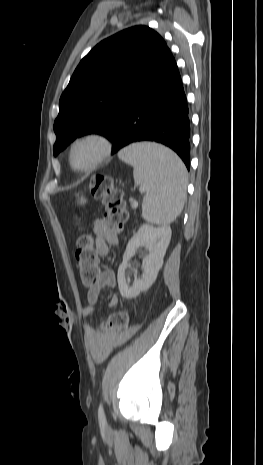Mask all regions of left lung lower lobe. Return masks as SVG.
I'll return each instance as SVG.
<instances>
[{
  "label": "left lung lower lobe",
  "instance_id": "obj_1",
  "mask_svg": "<svg viewBox=\"0 0 263 465\" xmlns=\"http://www.w3.org/2000/svg\"><path fill=\"white\" fill-rule=\"evenodd\" d=\"M181 77L166 47L138 80L112 142V154L138 141L173 149L190 169V120Z\"/></svg>",
  "mask_w": 263,
  "mask_h": 465
}]
</instances>
